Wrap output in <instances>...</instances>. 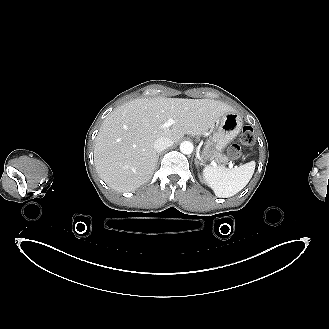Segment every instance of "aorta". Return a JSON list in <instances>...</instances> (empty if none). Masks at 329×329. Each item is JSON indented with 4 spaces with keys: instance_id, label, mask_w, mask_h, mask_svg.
<instances>
[{
    "instance_id": "obj_1",
    "label": "aorta",
    "mask_w": 329,
    "mask_h": 329,
    "mask_svg": "<svg viewBox=\"0 0 329 329\" xmlns=\"http://www.w3.org/2000/svg\"><path fill=\"white\" fill-rule=\"evenodd\" d=\"M193 144L189 141H184L180 144V151L183 153V154H191L193 152Z\"/></svg>"
}]
</instances>
